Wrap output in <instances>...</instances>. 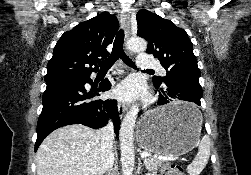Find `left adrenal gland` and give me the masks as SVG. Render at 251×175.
<instances>
[{
	"mask_svg": "<svg viewBox=\"0 0 251 175\" xmlns=\"http://www.w3.org/2000/svg\"><path fill=\"white\" fill-rule=\"evenodd\" d=\"M141 167H142V161H141V159H139V157H138V167H137V171H141Z\"/></svg>",
	"mask_w": 251,
	"mask_h": 175,
	"instance_id": "left-adrenal-gland-1",
	"label": "left adrenal gland"
}]
</instances>
